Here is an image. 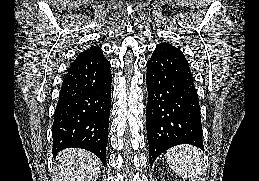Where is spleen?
Returning <instances> with one entry per match:
<instances>
[{
  "mask_svg": "<svg viewBox=\"0 0 259 181\" xmlns=\"http://www.w3.org/2000/svg\"><path fill=\"white\" fill-rule=\"evenodd\" d=\"M169 167L180 177H190L191 181H201L202 153L192 145H179L166 152Z\"/></svg>",
  "mask_w": 259,
  "mask_h": 181,
  "instance_id": "1",
  "label": "spleen"
}]
</instances>
